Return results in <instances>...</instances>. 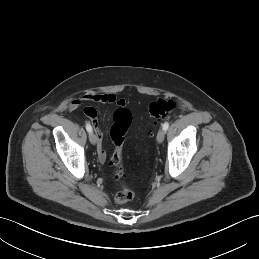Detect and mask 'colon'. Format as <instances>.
Wrapping results in <instances>:
<instances>
[{"mask_svg":"<svg viewBox=\"0 0 259 259\" xmlns=\"http://www.w3.org/2000/svg\"><path fill=\"white\" fill-rule=\"evenodd\" d=\"M175 102L171 99H158L150 103L148 115L152 120H160L168 117L174 110ZM132 123V114L127 108L117 109L112 116L110 136L114 150L110 158V164L114 168V178L122 184V188L115 195L117 203H125L133 199V190L124 184L125 174L122 167L121 155L126 133Z\"/></svg>","mask_w":259,"mask_h":259,"instance_id":"colon-1","label":"colon"}]
</instances>
